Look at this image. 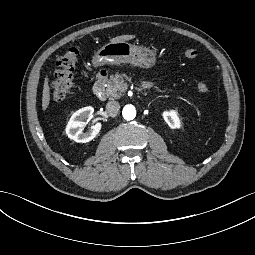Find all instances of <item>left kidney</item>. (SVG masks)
I'll return each instance as SVG.
<instances>
[{"instance_id":"left-kidney-1","label":"left kidney","mask_w":255,"mask_h":255,"mask_svg":"<svg viewBox=\"0 0 255 255\" xmlns=\"http://www.w3.org/2000/svg\"><path fill=\"white\" fill-rule=\"evenodd\" d=\"M162 115L170 128L176 129L181 127V121L176 110L164 111Z\"/></svg>"}]
</instances>
